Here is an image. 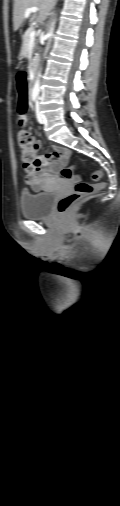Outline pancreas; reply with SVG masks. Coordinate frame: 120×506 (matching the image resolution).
<instances>
[{
  "mask_svg": "<svg viewBox=\"0 0 120 506\" xmlns=\"http://www.w3.org/2000/svg\"><path fill=\"white\" fill-rule=\"evenodd\" d=\"M32 30H33V28H29V29L25 32V34H24V36H23V49H24L25 51H27V49H28V45H29V41H30V32H31Z\"/></svg>",
  "mask_w": 120,
  "mask_h": 506,
  "instance_id": "1",
  "label": "pancreas"
}]
</instances>
